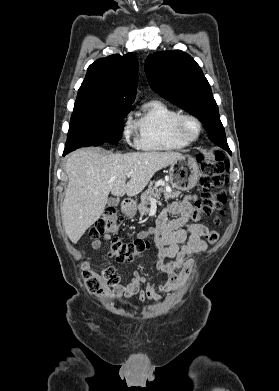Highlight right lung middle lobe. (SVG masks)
<instances>
[{"mask_svg":"<svg viewBox=\"0 0 279 391\" xmlns=\"http://www.w3.org/2000/svg\"><path fill=\"white\" fill-rule=\"evenodd\" d=\"M130 108H101L73 112L65 145L66 152L79 147L98 146L104 142L117 144L121 138L123 119Z\"/></svg>","mask_w":279,"mask_h":391,"instance_id":"obj_1","label":"right lung middle lobe"}]
</instances>
